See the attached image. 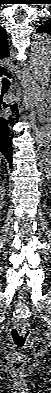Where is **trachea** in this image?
Returning <instances> with one entry per match:
<instances>
[{
	"instance_id": "3493384b",
	"label": "trachea",
	"mask_w": 51,
	"mask_h": 393,
	"mask_svg": "<svg viewBox=\"0 0 51 393\" xmlns=\"http://www.w3.org/2000/svg\"><path fill=\"white\" fill-rule=\"evenodd\" d=\"M9 83H10V80L8 78H6V77L2 78V84H9Z\"/></svg>"
}]
</instances>
